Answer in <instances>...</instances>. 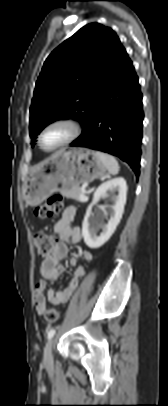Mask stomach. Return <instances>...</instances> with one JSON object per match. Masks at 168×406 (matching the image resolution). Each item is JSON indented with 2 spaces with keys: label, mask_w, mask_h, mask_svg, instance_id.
Segmentation results:
<instances>
[{
  "label": "stomach",
  "mask_w": 168,
  "mask_h": 406,
  "mask_svg": "<svg viewBox=\"0 0 168 406\" xmlns=\"http://www.w3.org/2000/svg\"><path fill=\"white\" fill-rule=\"evenodd\" d=\"M106 166L96 152L87 148H63L55 152L26 180L23 197L30 206H37L52 193L78 188L106 173Z\"/></svg>",
  "instance_id": "obj_1"
}]
</instances>
